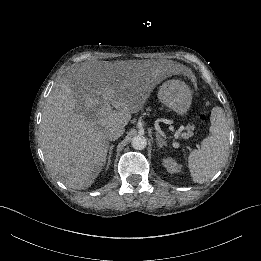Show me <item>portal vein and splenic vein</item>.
<instances>
[{
    "label": "portal vein and splenic vein",
    "instance_id": "1",
    "mask_svg": "<svg viewBox=\"0 0 261 261\" xmlns=\"http://www.w3.org/2000/svg\"><path fill=\"white\" fill-rule=\"evenodd\" d=\"M179 139H187V136H185L181 132H177L176 136L174 137V143L172 144V147H176V148L180 147V144L177 142Z\"/></svg>",
    "mask_w": 261,
    "mask_h": 261
}]
</instances>
